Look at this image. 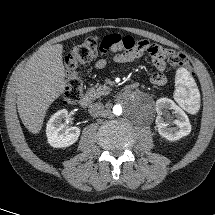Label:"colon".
<instances>
[{"label":"colon","mask_w":215,"mask_h":215,"mask_svg":"<svg viewBox=\"0 0 215 215\" xmlns=\"http://www.w3.org/2000/svg\"><path fill=\"white\" fill-rule=\"evenodd\" d=\"M102 41L97 36H92L73 47L65 58L66 87L63 95L65 104L77 103L83 94V79L80 74L82 64L92 60L98 52L102 51ZM168 61L176 67H186L187 58L182 53L165 50Z\"/></svg>","instance_id":"1"}]
</instances>
